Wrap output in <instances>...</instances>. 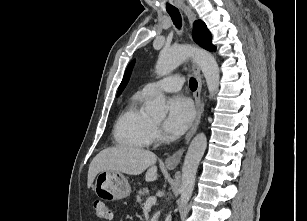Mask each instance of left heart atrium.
<instances>
[{
	"label": "left heart atrium",
	"instance_id": "1",
	"mask_svg": "<svg viewBox=\"0 0 307 221\" xmlns=\"http://www.w3.org/2000/svg\"><path fill=\"white\" fill-rule=\"evenodd\" d=\"M194 110L191 102L181 96L172 98L169 102L168 115L164 123L166 132L177 137L183 134L191 125Z\"/></svg>",
	"mask_w": 307,
	"mask_h": 221
}]
</instances>
